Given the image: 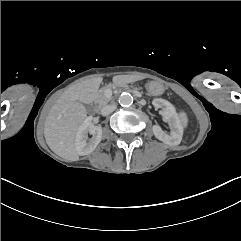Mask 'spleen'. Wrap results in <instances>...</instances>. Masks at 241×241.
I'll list each match as a JSON object with an SVG mask.
<instances>
[{"instance_id": "obj_1", "label": "spleen", "mask_w": 241, "mask_h": 241, "mask_svg": "<svg viewBox=\"0 0 241 241\" xmlns=\"http://www.w3.org/2000/svg\"><path fill=\"white\" fill-rule=\"evenodd\" d=\"M177 121L183 130H188L189 128V115L184 108H181L177 115Z\"/></svg>"}]
</instances>
